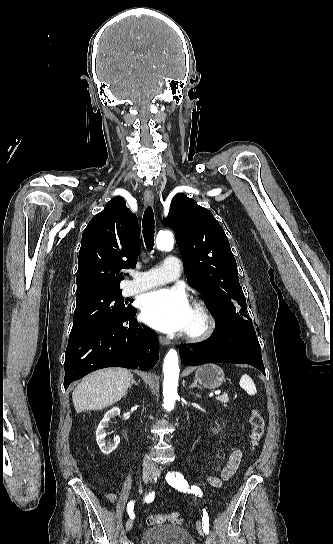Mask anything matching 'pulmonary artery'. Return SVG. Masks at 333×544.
I'll list each match as a JSON object with an SVG mask.
<instances>
[{
	"instance_id": "obj_1",
	"label": "pulmonary artery",
	"mask_w": 333,
	"mask_h": 544,
	"mask_svg": "<svg viewBox=\"0 0 333 544\" xmlns=\"http://www.w3.org/2000/svg\"><path fill=\"white\" fill-rule=\"evenodd\" d=\"M181 270V261L177 257L168 256L159 266L146 272L135 273L126 291L128 294H136L168 283L178 278Z\"/></svg>"
}]
</instances>
